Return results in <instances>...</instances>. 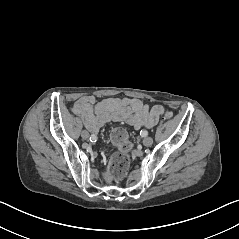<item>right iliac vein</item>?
Returning a JSON list of instances; mask_svg holds the SVG:
<instances>
[{"label":"right iliac vein","instance_id":"63e3f726","mask_svg":"<svg viewBox=\"0 0 239 239\" xmlns=\"http://www.w3.org/2000/svg\"><path fill=\"white\" fill-rule=\"evenodd\" d=\"M81 137L83 138V139H88L89 138V132L88 131H86V130H83L82 132H81Z\"/></svg>","mask_w":239,"mask_h":239}]
</instances>
